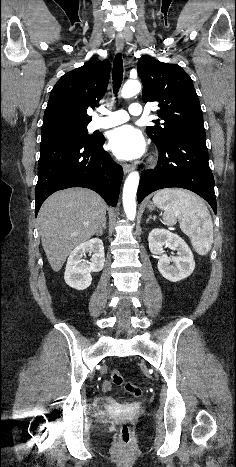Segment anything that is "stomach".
Segmentation results:
<instances>
[{"instance_id":"1","label":"stomach","mask_w":236,"mask_h":467,"mask_svg":"<svg viewBox=\"0 0 236 467\" xmlns=\"http://www.w3.org/2000/svg\"><path fill=\"white\" fill-rule=\"evenodd\" d=\"M147 208H148L150 211H152V210L155 209V204L152 203V202H149L148 205H147Z\"/></svg>"}]
</instances>
